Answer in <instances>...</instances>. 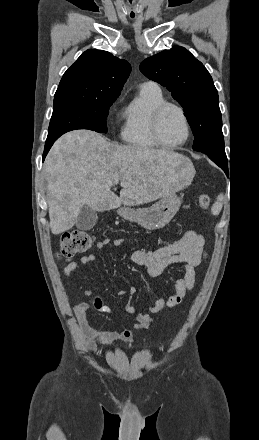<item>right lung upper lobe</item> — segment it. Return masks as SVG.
Segmentation results:
<instances>
[{
    "label": "right lung upper lobe",
    "mask_w": 259,
    "mask_h": 440,
    "mask_svg": "<svg viewBox=\"0 0 259 440\" xmlns=\"http://www.w3.org/2000/svg\"><path fill=\"white\" fill-rule=\"evenodd\" d=\"M131 71L130 64L107 51H85L64 73L55 97L117 98Z\"/></svg>",
    "instance_id": "right-lung-upper-lobe-1"
}]
</instances>
